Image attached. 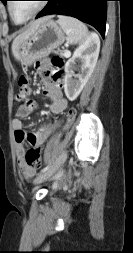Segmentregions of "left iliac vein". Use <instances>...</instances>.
<instances>
[{
    "mask_svg": "<svg viewBox=\"0 0 133 253\" xmlns=\"http://www.w3.org/2000/svg\"><path fill=\"white\" fill-rule=\"evenodd\" d=\"M67 156H68L67 151H64L51 168H49L47 171L43 172L42 174L36 177L35 184H40L49 179L55 172H57L64 165V163L67 160Z\"/></svg>",
    "mask_w": 133,
    "mask_h": 253,
    "instance_id": "4c4485c4",
    "label": "left iliac vein"
}]
</instances>
